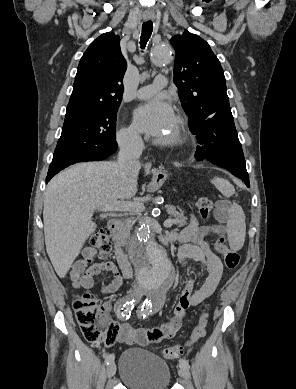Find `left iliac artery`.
Masks as SVG:
<instances>
[{"label": "left iliac artery", "mask_w": 296, "mask_h": 389, "mask_svg": "<svg viewBox=\"0 0 296 389\" xmlns=\"http://www.w3.org/2000/svg\"><path fill=\"white\" fill-rule=\"evenodd\" d=\"M152 312H153V309L151 307V303H150V301L148 302V300H146L140 306V308L138 310V315L139 316H143V318H146V316H148ZM180 366L186 367L188 369L190 367L189 363H188V361L186 359H181L180 360Z\"/></svg>", "instance_id": "44dca946"}]
</instances>
